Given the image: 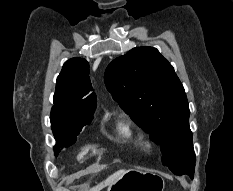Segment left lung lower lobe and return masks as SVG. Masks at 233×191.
<instances>
[{
	"label": "left lung lower lobe",
	"instance_id": "obj_1",
	"mask_svg": "<svg viewBox=\"0 0 233 191\" xmlns=\"http://www.w3.org/2000/svg\"><path fill=\"white\" fill-rule=\"evenodd\" d=\"M176 175H182V174H187L190 176L191 179H193L194 177V169H186L183 170L182 172H180V174L178 172H173Z\"/></svg>",
	"mask_w": 233,
	"mask_h": 191
}]
</instances>
